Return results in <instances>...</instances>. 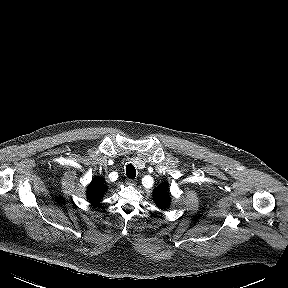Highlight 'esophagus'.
Wrapping results in <instances>:
<instances>
[{"label": "esophagus", "mask_w": 288, "mask_h": 288, "mask_svg": "<svg viewBox=\"0 0 288 288\" xmlns=\"http://www.w3.org/2000/svg\"><path fill=\"white\" fill-rule=\"evenodd\" d=\"M136 182H137V180H135V179H126V184L127 185L133 186V185L136 184Z\"/></svg>", "instance_id": "1"}]
</instances>
